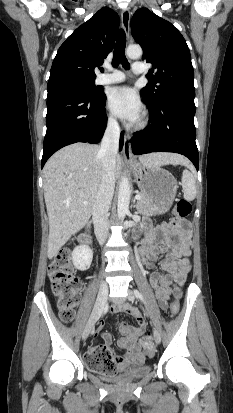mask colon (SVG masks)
I'll return each instance as SVG.
<instances>
[{"label":"colon","instance_id":"obj_1","mask_svg":"<svg viewBox=\"0 0 233 413\" xmlns=\"http://www.w3.org/2000/svg\"><path fill=\"white\" fill-rule=\"evenodd\" d=\"M192 212V204L189 200L181 198L177 201L175 214L179 219H184ZM49 278L52 292L57 299L60 319L70 323L74 319L75 307L80 298V281L74 275L68 251L60 252L49 265ZM172 315L179 311L178 300L175 298L170 306ZM146 350L150 349L152 340L147 335L142 340ZM88 366L103 373H116L117 363L114 353L107 348L99 349L94 355L85 358Z\"/></svg>","mask_w":233,"mask_h":413}]
</instances>
